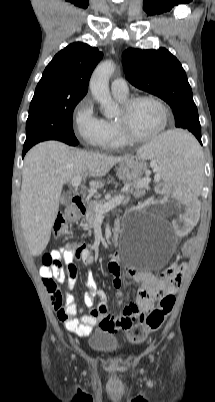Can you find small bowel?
Returning a JSON list of instances; mask_svg holds the SVG:
<instances>
[{
	"instance_id": "1",
	"label": "small bowel",
	"mask_w": 215,
	"mask_h": 402,
	"mask_svg": "<svg viewBox=\"0 0 215 402\" xmlns=\"http://www.w3.org/2000/svg\"><path fill=\"white\" fill-rule=\"evenodd\" d=\"M52 255L59 263L53 267L42 266L40 275L43 279L52 278L59 283H66L67 289L72 290L77 281L76 267L72 262L78 258L85 265L92 264L95 260L93 254L86 246L76 245L73 250H64L59 248L52 252ZM62 260L70 267L68 273L62 267ZM109 271L115 276L113 285L119 288L121 279L119 276V258L114 257L109 262ZM133 280L140 284L141 288L138 292L136 302L125 307L122 311L115 314L108 313L107 295L104 290L100 289L91 274H87L86 282L88 291L84 296V303L89 308L88 314H83L82 308L71 294L66 295V306L58 311L57 316L64 323L66 329L80 337L88 336L95 325H99L102 329L116 332L117 330H129L135 323L144 318V315L153 307L156 299H161L166 295H174L181 283L182 272L176 276L157 277L149 272L137 271L130 269ZM121 296L122 292H118ZM100 299L99 304L95 305V298Z\"/></svg>"
}]
</instances>
